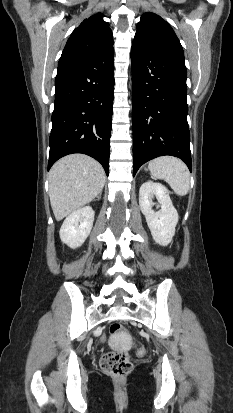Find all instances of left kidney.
<instances>
[{
    "label": "left kidney",
    "mask_w": 233,
    "mask_h": 413,
    "mask_svg": "<svg viewBox=\"0 0 233 413\" xmlns=\"http://www.w3.org/2000/svg\"><path fill=\"white\" fill-rule=\"evenodd\" d=\"M154 195L161 208L156 212L152 209ZM139 205L155 242L161 246L171 243L179 216L172 204L169 191L162 184L145 182L139 190Z\"/></svg>",
    "instance_id": "1"
}]
</instances>
